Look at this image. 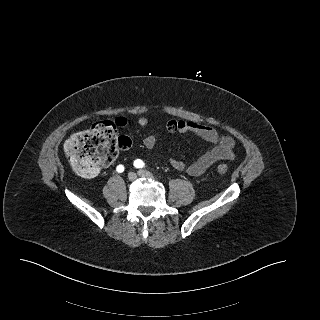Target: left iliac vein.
Listing matches in <instances>:
<instances>
[{
  "instance_id": "4c4485c4",
  "label": "left iliac vein",
  "mask_w": 320,
  "mask_h": 320,
  "mask_svg": "<svg viewBox=\"0 0 320 320\" xmlns=\"http://www.w3.org/2000/svg\"><path fill=\"white\" fill-rule=\"evenodd\" d=\"M137 174H138L140 177H145V178H150V179H153V178H154V176H153L149 171L143 170V169L139 170V171L137 172Z\"/></svg>"
}]
</instances>
